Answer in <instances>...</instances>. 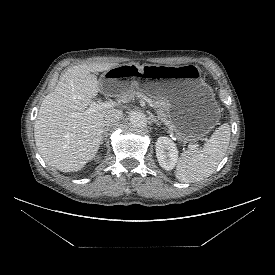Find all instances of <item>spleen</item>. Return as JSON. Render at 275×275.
Returning <instances> with one entry per match:
<instances>
[{
    "label": "spleen",
    "mask_w": 275,
    "mask_h": 275,
    "mask_svg": "<svg viewBox=\"0 0 275 275\" xmlns=\"http://www.w3.org/2000/svg\"><path fill=\"white\" fill-rule=\"evenodd\" d=\"M230 125L222 124L203 149H188L179 158L175 176L180 182L194 183L214 173L225 156L230 141Z\"/></svg>",
    "instance_id": "spleen-1"
}]
</instances>
